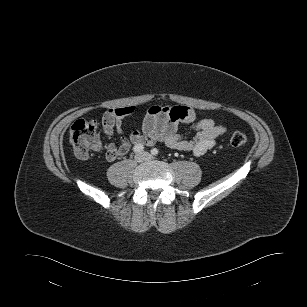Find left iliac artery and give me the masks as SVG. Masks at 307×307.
Returning a JSON list of instances; mask_svg holds the SVG:
<instances>
[{"label":"left iliac artery","mask_w":307,"mask_h":307,"mask_svg":"<svg viewBox=\"0 0 307 307\" xmlns=\"http://www.w3.org/2000/svg\"><path fill=\"white\" fill-rule=\"evenodd\" d=\"M158 153H159V151H158L157 148H153V149L151 150V154L154 155V156H157Z\"/></svg>","instance_id":"44dca946"}]
</instances>
